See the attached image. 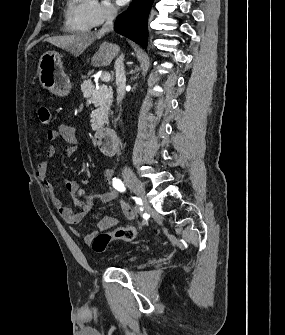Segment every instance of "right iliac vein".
Listing matches in <instances>:
<instances>
[{"instance_id": "obj_1", "label": "right iliac vein", "mask_w": 285, "mask_h": 335, "mask_svg": "<svg viewBox=\"0 0 285 335\" xmlns=\"http://www.w3.org/2000/svg\"><path fill=\"white\" fill-rule=\"evenodd\" d=\"M123 176L126 182V185L138 196L141 198L143 204H144V210H149V205L147 204L146 200V194L144 190L143 184L140 182V180L134 175V173L129 170L125 169L123 171Z\"/></svg>"}]
</instances>
